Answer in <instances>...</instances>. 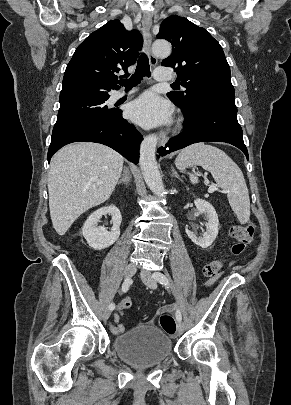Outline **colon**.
<instances>
[{
    "instance_id": "5ec220e1",
    "label": "colon",
    "mask_w": 291,
    "mask_h": 405,
    "mask_svg": "<svg viewBox=\"0 0 291 405\" xmlns=\"http://www.w3.org/2000/svg\"><path fill=\"white\" fill-rule=\"evenodd\" d=\"M230 235L234 239V243L230 248L229 256H239L251 243L254 236V226L251 224L235 225L231 228ZM226 260L227 258H223L207 263L203 267L204 276L209 279L216 278ZM131 304L132 302L129 297H124L119 303L123 310L130 308ZM160 325L163 330L170 335L176 332V322L170 314L164 313L160 316Z\"/></svg>"
}]
</instances>
